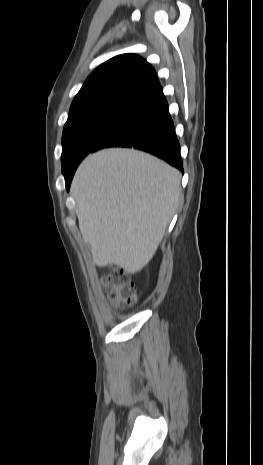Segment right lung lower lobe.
Listing matches in <instances>:
<instances>
[{
	"label": "right lung lower lobe",
	"instance_id": "1",
	"mask_svg": "<svg viewBox=\"0 0 263 465\" xmlns=\"http://www.w3.org/2000/svg\"><path fill=\"white\" fill-rule=\"evenodd\" d=\"M107 147L140 149L165 160L183 172L180 145L161 86L142 96L99 139L90 153ZM75 170L65 176L67 190Z\"/></svg>",
	"mask_w": 263,
	"mask_h": 465
}]
</instances>
